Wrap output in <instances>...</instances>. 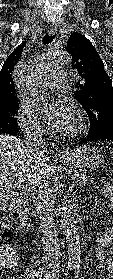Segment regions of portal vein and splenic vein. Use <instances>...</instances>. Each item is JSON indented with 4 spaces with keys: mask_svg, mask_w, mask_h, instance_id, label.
Masks as SVG:
<instances>
[{
    "mask_svg": "<svg viewBox=\"0 0 113 279\" xmlns=\"http://www.w3.org/2000/svg\"><path fill=\"white\" fill-rule=\"evenodd\" d=\"M15 184L19 187H22V188H26V189H30V186L28 184H25L24 180L21 179V178H18L16 181H15Z\"/></svg>",
    "mask_w": 113,
    "mask_h": 279,
    "instance_id": "1",
    "label": "portal vein and splenic vein"
}]
</instances>
